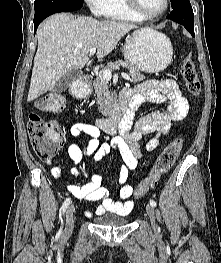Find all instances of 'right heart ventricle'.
<instances>
[{"instance_id": "obj_1", "label": "right heart ventricle", "mask_w": 221, "mask_h": 263, "mask_svg": "<svg viewBox=\"0 0 221 263\" xmlns=\"http://www.w3.org/2000/svg\"><path fill=\"white\" fill-rule=\"evenodd\" d=\"M104 16L120 21L142 20L127 6L125 0H108Z\"/></svg>"}]
</instances>
